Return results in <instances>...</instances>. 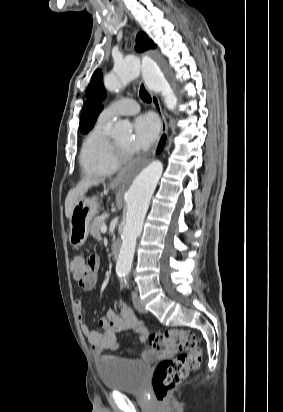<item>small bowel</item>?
<instances>
[{
	"instance_id": "c3829d8e",
	"label": "small bowel",
	"mask_w": 283,
	"mask_h": 412,
	"mask_svg": "<svg viewBox=\"0 0 283 412\" xmlns=\"http://www.w3.org/2000/svg\"><path fill=\"white\" fill-rule=\"evenodd\" d=\"M97 258V257H96ZM99 266V261L97 258ZM98 269V268H97ZM97 283V276L92 273L89 277L79 282L84 290H92ZM74 307L77 316L81 322V329L90 343L93 354L98 362L117 360V356H106L104 351H115L121 347L117 341V334L123 331H132L137 335V341L145 343L149 336V330L143 325L133 313L132 309L124 302L119 301L117 304L118 311L110 309L104 317L99 318L98 325L103 331L93 330L85 322V314L83 312V303L80 299L74 301ZM146 356V354H143Z\"/></svg>"
}]
</instances>
